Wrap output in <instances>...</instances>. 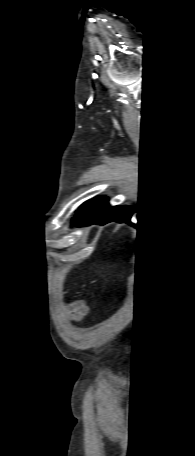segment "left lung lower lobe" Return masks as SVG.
I'll use <instances>...</instances> for the list:
<instances>
[{"label":"left lung lower lobe","mask_w":195,"mask_h":456,"mask_svg":"<svg viewBox=\"0 0 195 456\" xmlns=\"http://www.w3.org/2000/svg\"><path fill=\"white\" fill-rule=\"evenodd\" d=\"M131 211L127 207H110L108 199L97 197L89 201L73 219V225L106 224L111 221L119 223L130 219Z\"/></svg>","instance_id":"1"}]
</instances>
